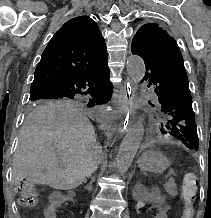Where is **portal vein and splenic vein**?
<instances>
[{"instance_id": "portal-vein-and-splenic-vein-1", "label": "portal vein and splenic vein", "mask_w": 211, "mask_h": 218, "mask_svg": "<svg viewBox=\"0 0 211 218\" xmlns=\"http://www.w3.org/2000/svg\"><path fill=\"white\" fill-rule=\"evenodd\" d=\"M169 174H172V172H169ZM166 178H168V176H166Z\"/></svg>"}]
</instances>
